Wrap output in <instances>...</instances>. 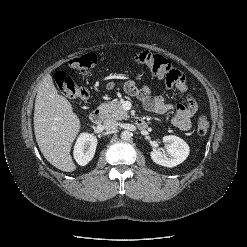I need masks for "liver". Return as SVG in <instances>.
I'll return each instance as SVG.
<instances>
[{
	"label": "liver",
	"instance_id": "liver-1",
	"mask_svg": "<svg viewBox=\"0 0 247 247\" xmlns=\"http://www.w3.org/2000/svg\"><path fill=\"white\" fill-rule=\"evenodd\" d=\"M80 128V119L71 103L58 94L51 75H46L36 95L34 132L41 153L57 169H76L70 151Z\"/></svg>",
	"mask_w": 247,
	"mask_h": 247
}]
</instances>
